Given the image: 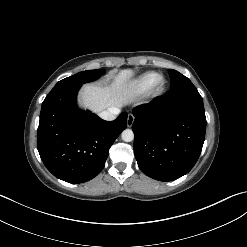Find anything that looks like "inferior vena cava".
<instances>
[{"label": "inferior vena cava", "mask_w": 247, "mask_h": 247, "mask_svg": "<svg viewBox=\"0 0 247 247\" xmlns=\"http://www.w3.org/2000/svg\"><path fill=\"white\" fill-rule=\"evenodd\" d=\"M120 113V109L117 107L109 108L99 113L100 118L106 121L114 120L117 115Z\"/></svg>", "instance_id": "1"}]
</instances>
